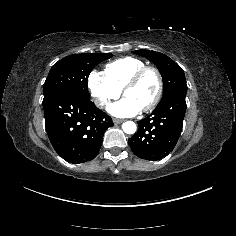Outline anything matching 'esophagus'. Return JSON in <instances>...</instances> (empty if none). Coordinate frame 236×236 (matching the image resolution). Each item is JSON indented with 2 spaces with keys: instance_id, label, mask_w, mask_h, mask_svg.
<instances>
[{
  "instance_id": "1",
  "label": "esophagus",
  "mask_w": 236,
  "mask_h": 236,
  "mask_svg": "<svg viewBox=\"0 0 236 236\" xmlns=\"http://www.w3.org/2000/svg\"><path fill=\"white\" fill-rule=\"evenodd\" d=\"M114 124H120L123 122L122 119H113Z\"/></svg>"
}]
</instances>
